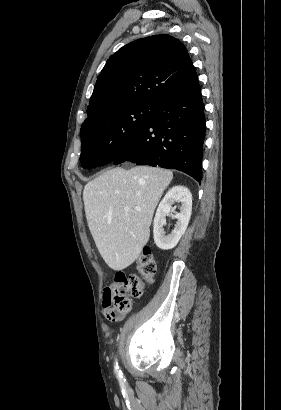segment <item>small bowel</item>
<instances>
[{"label": "small bowel", "mask_w": 281, "mask_h": 410, "mask_svg": "<svg viewBox=\"0 0 281 410\" xmlns=\"http://www.w3.org/2000/svg\"><path fill=\"white\" fill-rule=\"evenodd\" d=\"M102 310L106 317L108 313L112 310L108 287H105L103 291Z\"/></svg>", "instance_id": "small-bowel-1"}]
</instances>
